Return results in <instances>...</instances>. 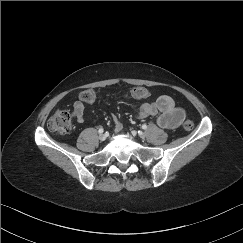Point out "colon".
I'll return each mask as SVG.
<instances>
[{"instance_id":"5ec220e1","label":"colon","mask_w":243,"mask_h":243,"mask_svg":"<svg viewBox=\"0 0 243 243\" xmlns=\"http://www.w3.org/2000/svg\"><path fill=\"white\" fill-rule=\"evenodd\" d=\"M129 95L135 99H144L148 96V91L143 87H136L129 91ZM80 98L83 102L93 103L96 100V94L93 90L88 89L81 93ZM48 128L58 134H67L71 131L70 115L66 110H57L48 120ZM193 122L186 119L183 122V128L185 130H191L193 128Z\"/></svg>"}]
</instances>
